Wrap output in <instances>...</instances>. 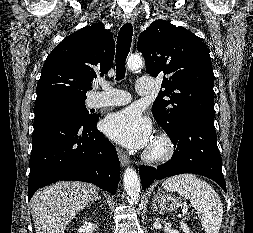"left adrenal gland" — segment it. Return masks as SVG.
Listing matches in <instances>:
<instances>
[{
    "mask_svg": "<svg viewBox=\"0 0 253 233\" xmlns=\"http://www.w3.org/2000/svg\"><path fill=\"white\" fill-rule=\"evenodd\" d=\"M152 209H153V211H157L159 214H161V211L158 210V208H157V206H156V204H155L154 201L152 203Z\"/></svg>",
    "mask_w": 253,
    "mask_h": 233,
    "instance_id": "a2214340",
    "label": "left adrenal gland"
}]
</instances>
